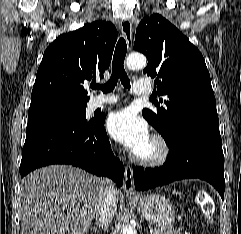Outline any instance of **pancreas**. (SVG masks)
Masks as SVG:
<instances>
[{"label":"pancreas","mask_w":241,"mask_h":234,"mask_svg":"<svg viewBox=\"0 0 241 234\" xmlns=\"http://www.w3.org/2000/svg\"><path fill=\"white\" fill-rule=\"evenodd\" d=\"M154 234H182V233L172 228H168V229L162 228V229H156Z\"/></svg>","instance_id":"1"}]
</instances>
